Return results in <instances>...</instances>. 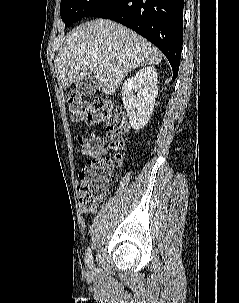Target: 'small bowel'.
<instances>
[{"label": "small bowel", "instance_id": "1", "mask_svg": "<svg viewBox=\"0 0 239 303\" xmlns=\"http://www.w3.org/2000/svg\"><path fill=\"white\" fill-rule=\"evenodd\" d=\"M77 142L80 145V152L84 156L90 158H98L107 153L105 140L96 134L78 135ZM80 209L83 213H94L95 207L81 205Z\"/></svg>", "mask_w": 239, "mask_h": 303}]
</instances>
